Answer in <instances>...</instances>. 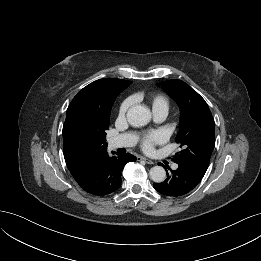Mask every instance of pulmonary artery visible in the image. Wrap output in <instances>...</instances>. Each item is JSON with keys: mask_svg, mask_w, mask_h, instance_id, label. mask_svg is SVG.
I'll return each instance as SVG.
<instances>
[{"mask_svg": "<svg viewBox=\"0 0 261 261\" xmlns=\"http://www.w3.org/2000/svg\"><path fill=\"white\" fill-rule=\"evenodd\" d=\"M166 117L165 113H158L155 114V119L157 121H162ZM136 142V137L132 134H123L120 135L116 138H113L109 141V147L114 149V148H119V147H127V146H132ZM174 168H177V165H174Z\"/></svg>", "mask_w": 261, "mask_h": 261, "instance_id": "1", "label": "pulmonary artery"}]
</instances>
